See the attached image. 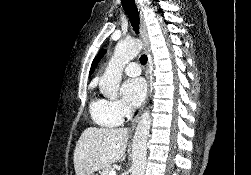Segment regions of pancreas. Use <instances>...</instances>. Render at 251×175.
Wrapping results in <instances>:
<instances>
[{"label": "pancreas", "mask_w": 251, "mask_h": 175, "mask_svg": "<svg viewBox=\"0 0 251 175\" xmlns=\"http://www.w3.org/2000/svg\"><path fill=\"white\" fill-rule=\"evenodd\" d=\"M111 165H107V167H103L100 171V175H109V171H111Z\"/></svg>", "instance_id": "cf45deb5"}]
</instances>
